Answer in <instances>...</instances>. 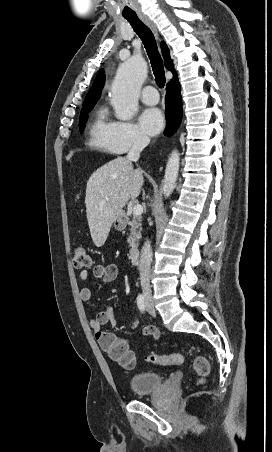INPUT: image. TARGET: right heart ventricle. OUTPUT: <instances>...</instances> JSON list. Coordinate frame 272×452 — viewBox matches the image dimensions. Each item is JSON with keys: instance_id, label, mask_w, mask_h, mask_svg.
<instances>
[{"instance_id": "1", "label": "right heart ventricle", "mask_w": 272, "mask_h": 452, "mask_svg": "<svg viewBox=\"0 0 272 452\" xmlns=\"http://www.w3.org/2000/svg\"><path fill=\"white\" fill-rule=\"evenodd\" d=\"M114 122L110 121L105 109H100L96 113L88 135V143L90 146L105 151L116 152L110 142Z\"/></svg>"}]
</instances>
